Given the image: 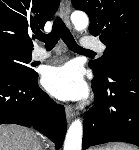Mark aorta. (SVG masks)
I'll use <instances>...</instances> for the list:
<instances>
[{
	"instance_id": "aorta-1",
	"label": "aorta",
	"mask_w": 139,
	"mask_h": 150,
	"mask_svg": "<svg viewBox=\"0 0 139 150\" xmlns=\"http://www.w3.org/2000/svg\"><path fill=\"white\" fill-rule=\"evenodd\" d=\"M71 21L77 31L87 28L89 18L83 11H75L71 14ZM83 125L80 119H75L70 125L65 142L64 150H81L82 149Z\"/></svg>"
}]
</instances>
